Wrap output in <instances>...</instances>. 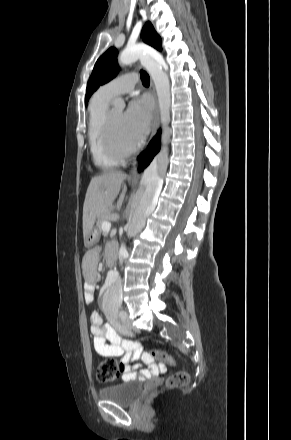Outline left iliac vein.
I'll list each match as a JSON object with an SVG mask.
<instances>
[{
	"label": "left iliac vein",
	"instance_id": "left-iliac-vein-1",
	"mask_svg": "<svg viewBox=\"0 0 291 440\" xmlns=\"http://www.w3.org/2000/svg\"><path fill=\"white\" fill-rule=\"evenodd\" d=\"M119 318H120V320H121V322H122V324L124 326L123 327L124 333L129 334L130 330H131V322H130L128 313L126 311H124V310L120 311L119 312Z\"/></svg>",
	"mask_w": 291,
	"mask_h": 440
}]
</instances>
